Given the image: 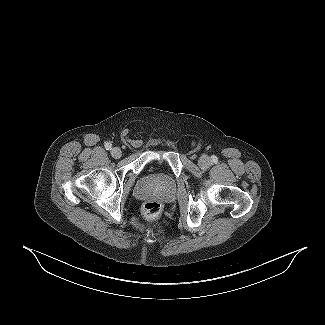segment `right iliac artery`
I'll list each match as a JSON object with an SVG mask.
<instances>
[{
  "instance_id": "82829eb1",
  "label": "right iliac artery",
  "mask_w": 325,
  "mask_h": 325,
  "mask_svg": "<svg viewBox=\"0 0 325 325\" xmlns=\"http://www.w3.org/2000/svg\"><path fill=\"white\" fill-rule=\"evenodd\" d=\"M112 145L110 143L105 144L106 150H111Z\"/></svg>"
}]
</instances>
